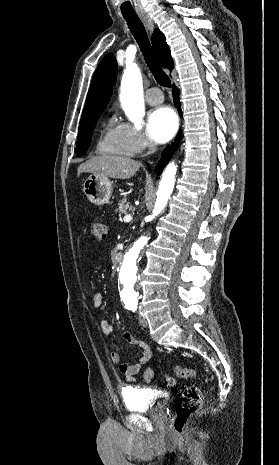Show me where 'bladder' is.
I'll return each mask as SVG.
<instances>
[{"label":"bladder","instance_id":"bladder-1","mask_svg":"<svg viewBox=\"0 0 279 465\" xmlns=\"http://www.w3.org/2000/svg\"><path fill=\"white\" fill-rule=\"evenodd\" d=\"M121 397L130 412H153L159 415L164 412L169 400L166 393L139 386L124 387Z\"/></svg>","mask_w":279,"mask_h":465}]
</instances>
